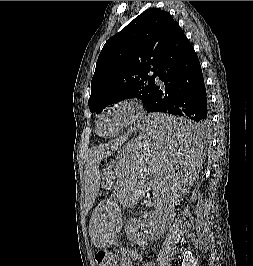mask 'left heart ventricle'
<instances>
[{"label":"left heart ventricle","mask_w":253,"mask_h":266,"mask_svg":"<svg viewBox=\"0 0 253 266\" xmlns=\"http://www.w3.org/2000/svg\"><path fill=\"white\" fill-rule=\"evenodd\" d=\"M126 119V112L116 109L107 112L99 122L98 130L102 135H110L122 126Z\"/></svg>","instance_id":"left-heart-ventricle-1"}]
</instances>
